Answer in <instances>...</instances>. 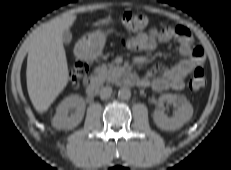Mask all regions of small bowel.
I'll use <instances>...</instances> for the list:
<instances>
[{"mask_svg":"<svg viewBox=\"0 0 231 170\" xmlns=\"http://www.w3.org/2000/svg\"><path fill=\"white\" fill-rule=\"evenodd\" d=\"M172 40L178 43L180 61L158 76L153 77L152 73H148L140 79L141 85L151 86L156 91L182 90L184 79L204 63V51L194 45L189 29L183 25L169 26L161 30L151 29L146 33L122 40L123 46L133 51H152L158 45Z\"/></svg>","mask_w":231,"mask_h":170,"instance_id":"1","label":"small bowel"}]
</instances>
